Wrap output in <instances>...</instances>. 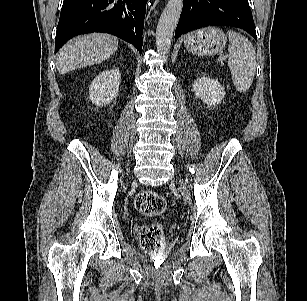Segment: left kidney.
<instances>
[{
	"label": "left kidney",
	"instance_id": "left-kidney-1",
	"mask_svg": "<svg viewBox=\"0 0 307 301\" xmlns=\"http://www.w3.org/2000/svg\"><path fill=\"white\" fill-rule=\"evenodd\" d=\"M193 92L208 106L219 104L226 94L225 88L216 79L207 76L194 81Z\"/></svg>",
	"mask_w": 307,
	"mask_h": 301
}]
</instances>
